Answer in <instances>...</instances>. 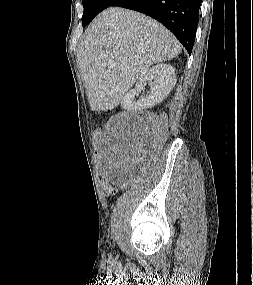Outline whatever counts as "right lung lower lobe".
<instances>
[{"label":"right lung lower lobe","mask_w":253,"mask_h":285,"mask_svg":"<svg viewBox=\"0 0 253 285\" xmlns=\"http://www.w3.org/2000/svg\"><path fill=\"white\" fill-rule=\"evenodd\" d=\"M202 0H115L119 6L142 12L161 22L183 44L189 54L195 41Z\"/></svg>","instance_id":"right-lung-lower-lobe-1"}]
</instances>
